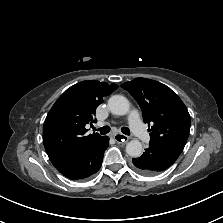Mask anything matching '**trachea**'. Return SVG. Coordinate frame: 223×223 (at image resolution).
I'll return each instance as SVG.
<instances>
[{
    "label": "trachea",
    "mask_w": 223,
    "mask_h": 223,
    "mask_svg": "<svg viewBox=\"0 0 223 223\" xmlns=\"http://www.w3.org/2000/svg\"><path fill=\"white\" fill-rule=\"evenodd\" d=\"M97 131H99L101 135H105L110 131V127L109 126H103L99 129H97ZM121 131L125 135H130V130L127 127H122Z\"/></svg>",
    "instance_id": "trachea-1"
}]
</instances>
